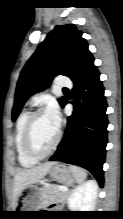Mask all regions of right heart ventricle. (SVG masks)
Wrapping results in <instances>:
<instances>
[{
    "label": "right heart ventricle",
    "mask_w": 123,
    "mask_h": 219,
    "mask_svg": "<svg viewBox=\"0 0 123 219\" xmlns=\"http://www.w3.org/2000/svg\"><path fill=\"white\" fill-rule=\"evenodd\" d=\"M30 115L28 110L21 112L17 119L16 131H15V149L17 153V159L21 166L31 167L37 163L38 160L29 157L24 149L23 137L27 119Z\"/></svg>",
    "instance_id": "e07e8e85"
}]
</instances>
